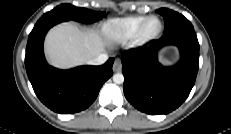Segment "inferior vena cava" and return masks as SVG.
<instances>
[{
    "label": "inferior vena cava",
    "instance_id": "602c4592",
    "mask_svg": "<svg viewBox=\"0 0 231 134\" xmlns=\"http://www.w3.org/2000/svg\"><path fill=\"white\" fill-rule=\"evenodd\" d=\"M108 59V55L106 53H101L98 56L92 58L88 61V64L90 65H102L105 63Z\"/></svg>",
    "mask_w": 231,
    "mask_h": 134
}]
</instances>
